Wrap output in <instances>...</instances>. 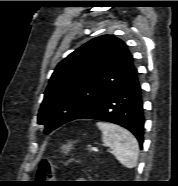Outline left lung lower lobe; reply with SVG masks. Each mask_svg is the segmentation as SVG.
<instances>
[{
    "label": "left lung lower lobe",
    "instance_id": "0a47b994",
    "mask_svg": "<svg viewBox=\"0 0 178 186\" xmlns=\"http://www.w3.org/2000/svg\"><path fill=\"white\" fill-rule=\"evenodd\" d=\"M75 119H95L118 124L131 131L142 146L145 119L137 71Z\"/></svg>",
    "mask_w": 178,
    "mask_h": 186
}]
</instances>
